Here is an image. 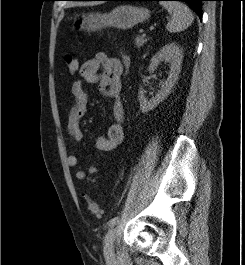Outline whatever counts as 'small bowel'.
I'll return each mask as SVG.
<instances>
[{
	"mask_svg": "<svg viewBox=\"0 0 245 265\" xmlns=\"http://www.w3.org/2000/svg\"><path fill=\"white\" fill-rule=\"evenodd\" d=\"M101 68L103 71L100 73ZM79 74L81 80L74 81L71 86V93L75 102L67 117L69 139L78 142L83 138L80 122L87 112L89 99L83 83H97L101 92L113 101L114 122L108 128L105 136H98L95 139V147L100 151H112L122 143L124 138V108L120 98L123 66L118 58L109 57L104 52H98L82 64ZM67 164L71 168H76L78 165L77 157L70 154L67 157ZM75 177L78 180H83L85 172L78 168L75 171Z\"/></svg>",
	"mask_w": 245,
	"mask_h": 265,
	"instance_id": "c3829d8e",
	"label": "small bowel"
}]
</instances>
